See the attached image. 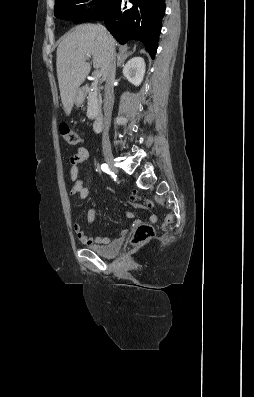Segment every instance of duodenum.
I'll list each match as a JSON object with an SVG mask.
<instances>
[{
  "instance_id": "obj_1",
  "label": "duodenum",
  "mask_w": 254,
  "mask_h": 397,
  "mask_svg": "<svg viewBox=\"0 0 254 397\" xmlns=\"http://www.w3.org/2000/svg\"><path fill=\"white\" fill-rule=\"evenodd\" d=\"M102 127H103V117L101 114H99L98 116L95 117L93 121V130L95 132H100L102 130Z\"/></svg>"
}]
</instances>
